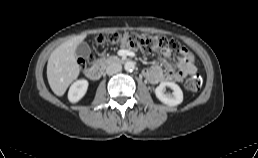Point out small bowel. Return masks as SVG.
<instances>
[{
	"label": "small bowel",
	"instance_id": "small-bowel-1",
	"mask_svg": "<svg viewBox=\"0 0 258 158\" xmlns=\"http://www.w3.org/2000/svg\"><path fill=\"white\" fill-rule=\"evenodd\" d=\"M180 55L181 57L176 61V67H173L167 61V59L170 57V53L163 52L162 61L164 68L159 64L151 66L144 72L148 80L154 84L164 81L180 82L186 76L195 74L197 68L191 52L183 47Z\"/></svg>",
	"mask_w": 258,
	"mask_h": 158
}]
</instances>
